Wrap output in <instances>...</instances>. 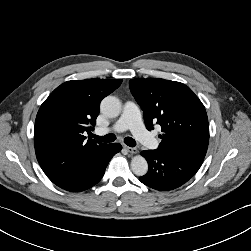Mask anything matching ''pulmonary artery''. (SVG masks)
Returning <instances> with one entry per match:
<instances>
[{
  "label": "pulmonary artery",
  "instance_id": "pulmonary-artery-1",
  "mask_svg": "<svg viewBox=\"0 0 251 251\" xmlns=\"http://www.w3.org/2000/svg\"><path fill=\"white\" fill-rule=\"evenodd\" d=\"M130 130L138 141L149 148H157L158 141L144 128L137 104L126 101L123 112L116 123L110 128H98L96 134L104 135L109 132H123Z\"/></svg>",
  "mask_w": 251,
  "mask_h": 251
}]
</instances>
